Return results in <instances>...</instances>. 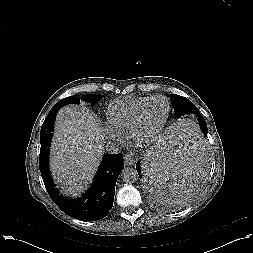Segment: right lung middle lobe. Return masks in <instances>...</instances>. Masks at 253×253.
<instances>
[{
    "label": "right lung middle lobe",
    "instance_id": "dd1d6c3e",
    "mask_svg": "<svg viewBox=\"0 0 253 253\" xmlns=\"http://www.w3.org/2000/svg\"><path fill=\"white\" fill-rule=\"evenodd\" d=\"M103 98V95L87 94L83 95V99L86 102L96 104ZM80 99L76 96L66 97L57 102L53 107H58L59 109L67 104H79ZM54 128L42 126L40 132V143L41 149L40 154L44 152H49L51 139L53 136Z\"/></svg>",
    "mask_w": 253,
    "mask_h": 253
}]
</instances>
